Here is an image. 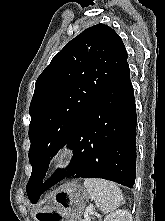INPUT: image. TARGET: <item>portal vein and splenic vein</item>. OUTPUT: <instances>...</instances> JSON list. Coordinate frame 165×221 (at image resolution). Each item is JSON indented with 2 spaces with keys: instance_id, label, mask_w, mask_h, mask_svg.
I'll return each mask as SVG.
<instances>
[{
  "instance_id": "1",
  "label": "portal vein and splenic vein",
  "mask_w": 165,
  "mask_h": 221,
  "mask_svg": "<svg viewBox=\"0 0 165 221\" xmlns=\"http://www.w3.org/2000/svg\"><path fill=\"white\" fill-rule=\"evenodd\" d=\"M86 210H87V212H90L93 210V207H88ZM84 221H90V219L86 218Z\"/></svg>"
}]
</instances>
